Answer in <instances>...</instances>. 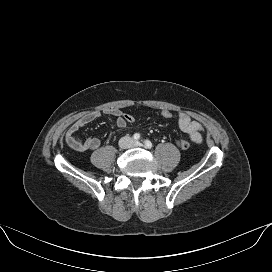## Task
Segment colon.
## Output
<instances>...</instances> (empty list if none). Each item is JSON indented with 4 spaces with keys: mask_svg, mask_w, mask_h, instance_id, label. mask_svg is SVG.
I'll use <instances>...</instances> for the list:
<instances>
[{
    "mask_svg": "<svg viewBox=\"0 0 272 272\" xmlns=\"http://www.w3.org/2000/svg\"><path fill=\"white\" fill-rule=\"evenodd\" d=\"M161 116L164 119H170L173 117V113L170 110L165 109L161 111ZM123 117H124V120L129 124L134 123L136 121V118L131 114L125 113L123 114ZM177 146L180 149L185 150L189 148V142L186 139H179L177 141Z\"/></svg>",
    "mask_w": 272,
    "mask_h": 272,
    "instance_id": "5ec220e1",
    "label": "colon"
}]
</instances>
